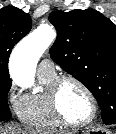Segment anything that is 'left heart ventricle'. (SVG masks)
Instances as JSON below:
<instances>
[{
    "instance_id": "obj_1",
    "label": "left heart ventricle",
    "mask_w": 116,
    "mask_h": 134,
    "mask_svg": "<svg viewBox=\"0 0 116 134\" xmlns=\"http://www.w3.org/2000/svg\"><path fill=\"white\" fill-rule=\"evenodd\" d=\"M62 114L70 121L82 122L91 113V103L86 93L74 83H65L59 94Z\"/></svg>"
}]
</instances>
